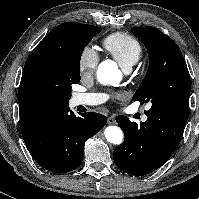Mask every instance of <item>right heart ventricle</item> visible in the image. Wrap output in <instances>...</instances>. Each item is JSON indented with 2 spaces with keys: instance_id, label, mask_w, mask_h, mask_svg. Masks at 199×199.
<instances>
[{
  "instance_id": "e07e8e85",
  "label": "right heart ventricle",
  "mask_w": 199,
  "mask_h": 199,
  "mask_svg": "<svg viewBox=\"0 0 199 199\" xmlns=\"http://www.w3.org/2000/svg\"><path fill=\"white\" fill-rule=\"evenodd\" d=\"M105 50L126 70L131 69L142 55V46L133 36L117 32L103 40Z\"/></svg>"
}]
</instances>
